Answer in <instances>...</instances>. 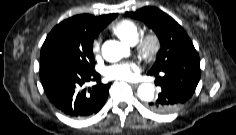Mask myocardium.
<instances>
[{
  "label": "myocardium",
  "instance_id": "1",
  "mask_svg": "<svg viewBox=\"0 0 236 135\" xmlns=\"http://www.w3.org/2000/svg\"><path fill=\"white\" fill-rule=\"evenodd\" d=\"M138 54L145 60H153L159 53L160 40L156 33L149 32L138 38L136 42Z\"/></svg>",
  "mask_w": 236,
  "mask_h": 135
}]
</instances>
